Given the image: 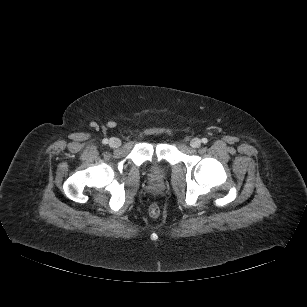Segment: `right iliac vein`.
Instances as JSON below:
<instances>
[{"mask_svg": "<svg viewBox=\"0 0 307 307\" xmlns=\"http://www.w3.org/2000/svg\"><path fill=\"white\" fill-rule=\"evenodd\" d=\"M109 146L112 148H118L121 146V140L119 138H111L109 140Z\"/></svg>", "mask_w": 307, "mask_h": 307, "instance_id": "right-iliac-vein-1", "label": "right iliac vein"}]
</instances>
